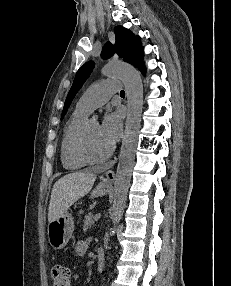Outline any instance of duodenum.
<instances>
[{
    "instance_id": "duodenum-1",
    "label": "duodenum",
    "mask_w": 231,
    "mask_h": 286,
    "mask_svg": "<svg viewBox=\"0 0 231 286\" xmlns=\"http://www.w3.org/2000/svg\"><path fill=\"white\" fill-rule=\"evenodd\" d=\"M105 266V256L102 250L97 252L96 268L98 272H102Z\"/></svg>"
}]
</instances>
